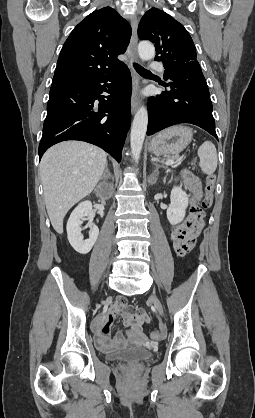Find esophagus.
Wrapping results in <instances>:
<instances>
[{
  "mask_svg": "<svg viewBox=\"0 0 255 418\" xmlns=\"http://www.w3.org/2000/svg\"><path fill=\"white\" fill-rule=\"evenodd\" d=\"M131 27H132V36L130 40V53L133 59L137 58V27H138V21L136 17H133L131 20ZM132 80H133V91H132V97H131V111L134 114L136 110L138 109L140 100H139V79L136 75V72L134 71L132 65Z\"/></svg>",
  "mask_w": 255,
  "mask_h": 418,
  "instance_id": "34e87169",
  "label": "esophagus"
}]
</instances>
